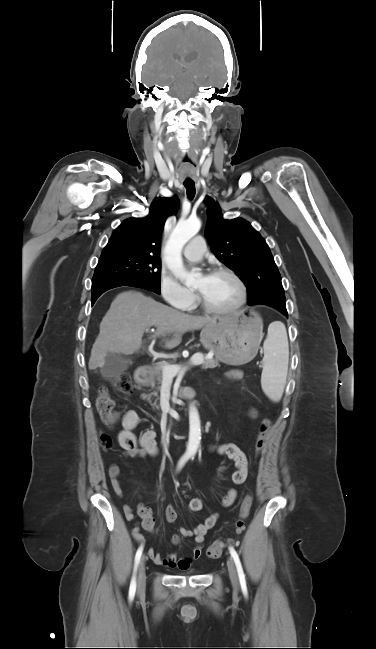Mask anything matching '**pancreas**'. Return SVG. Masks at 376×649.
<instances>
[{
	"mask_svg": "<svg viewBox=\"0 0 376 649\" xmlns=\"http://www.w3.org/2000/svg\"><path fill=\"white\" fill-rule=\"evenodd\" d=\"M165 365L169 364L166 362H161L150 368L149 380L151 383L157 382L158 384H161L163 382L162 367ZM216 366H219V363L215 359L206 358L202 363L203 369L215 368ZM153 395L157 396V392H154ZM148 400L150 402V396L148 397ZM152 406L158 408L156 403L152 404Z\"/></svg>",
	"mask_w": 376,
	"mask_h": 649,
	"instance_id": "obj_1",
	"label": "pancreas"
}]
</instances>
